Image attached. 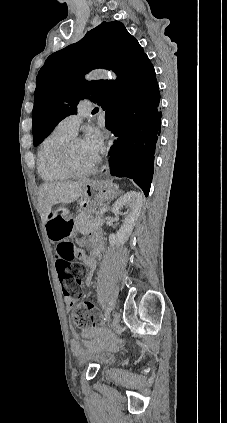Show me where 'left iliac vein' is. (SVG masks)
Returning <instances> with one entry per match:
<instances>
[{
  "label": "left iliac vein",
  "mask_w": 227,
  "mask_h": 423,
  "mask_svg": "<svg viewBox=\"0 0 227 423\" xmlns=\"http://www.w3.org/2000/svg\"><path fill=\"white\" fill-rule=\"evenodd\" d=\"M120 322V313L115 312L110 321V327L115 328L116 325H119Z\"/></svg>",
  "instance_id": "obj_1"
}]
</instances>
